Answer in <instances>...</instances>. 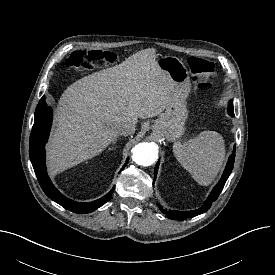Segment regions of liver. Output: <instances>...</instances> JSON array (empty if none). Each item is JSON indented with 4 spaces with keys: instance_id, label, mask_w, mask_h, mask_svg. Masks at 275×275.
Returning a JSON list of instances; mask_svg holds the SVG:
<instances>
[{
    "instance_id": "liver-1",
    "label": "liver",
    "mask_w": 275,
    "mask_h": 275,
    "mask_svg": "<svg viewBox=\"0 0 275 275\" xmlns=\"http://www.w3.org/2000/svg\"><path fill=\"white\" fill-rule=\"evenodd\" d=\"M155 49L141 50L121 64L74 82L62 94L47 160L57 171L100 154L117 137L116 126L159 115L171 100Z\"/></svg>"
}]
</instances>
